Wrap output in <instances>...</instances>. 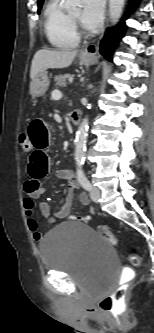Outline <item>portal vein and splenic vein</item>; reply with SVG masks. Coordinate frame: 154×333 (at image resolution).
Here are the masks:
<instances>
[{"label":"portal vein and splenic vein","mask_w":154,"mask_h":333,"mask_svg":"<svg viewBox=\"0 0 154 333\" xmlns=\"http://www.w3.org/2000/svg\"><path fill=\"white\" fill-rule=\"evenodd\" d=\"M52 97H53V98H57V99L61 98V97H62V93H61V91H60V90H54V91L52 92Z\"/></svg>","instance_id":"1"}]
</instances>
